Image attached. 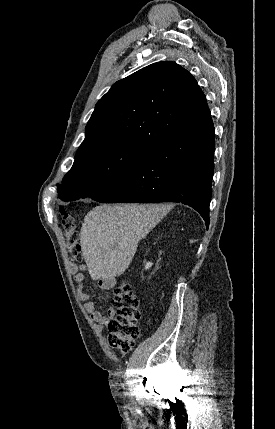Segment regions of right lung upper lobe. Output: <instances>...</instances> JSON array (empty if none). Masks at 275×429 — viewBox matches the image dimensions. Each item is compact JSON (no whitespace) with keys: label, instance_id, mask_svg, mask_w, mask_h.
Returning <instances> with one entry per match:
<instances>
[{"label":"right lung upper lobe","instance_id":"right-lung-upper-lobe-1","mask_svg":"<svg viewBox=\"0 0 275 429\" xmlns=\"http://www.w3.org/2000/svg\"><path fill=\"white\" fill-rule=\"evenodd\" d=\"M212 124L194 77L175 62H157L117 81L97 102L75 160L115 145L151 153Z\"/></svg>","mask_w":275,"mask_h":429}]
</instances>
